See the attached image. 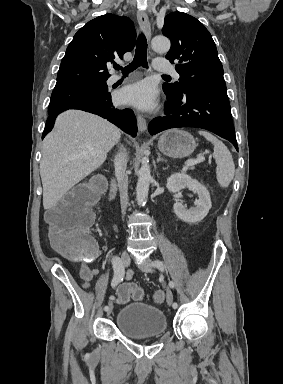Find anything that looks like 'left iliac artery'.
<instances>
[{
	"mask_svg": "<svg viewBox=\"0 0 283 384\" xmlns=\"http://www.w3.org/2000/svg\"><path fill=\"white\" fill-rule=\"evenodd\" d=\"M152 265H153V266H156V267L159 268L161 271H164V269H165V266H164L163 262L160 261V260H156V261L152 262ZM169 286H170L171 288H173V287H174V283H173L172 281H170V282H169ZM172 306H173L174 309H177V308H178V304H177V302H174Z\"/></svg>",
	"mask_w": 283,
	"mask_h": 384,
	"instance_id": "obj_1",
	"label": "left iliac artery"
}]
</instances>
